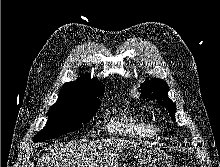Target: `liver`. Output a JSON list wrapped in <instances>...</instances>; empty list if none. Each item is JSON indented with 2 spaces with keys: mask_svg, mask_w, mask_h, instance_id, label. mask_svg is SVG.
<instances>
[{
  "mask_svg": "<svg viewBox=\"0 0 220 167\" xmlns=\"http://www.w3.org/2000/svg\"><path fill=\"white\" fill-rule=\"evenodd\" d=\"M130 144L131 141L124 139L53 144L39 159L37 167H113L123 148Z\"/></svg>",
  "mask_w": 220,
  "mask_h": 167,
  "instance_id": "liver-1",
  "label": "liver"
}]
</instances>
